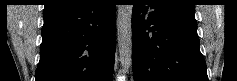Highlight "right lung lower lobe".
I'll use <instances>...</instances> for the list:
<instances>
[{"mask_svg": "<svg viewBox=\"0 0 237 81\" xmlns=\"http://www.w3.org/2000/svg\"><path fill=\"white\" fill-rule=\"evenodd\" d=\"M36 81H111L116 13L112 0H82L43 14Z\"/></svg>", "mask_w": 237, "mask_h": 81, "instance_id": "right-lung-lower-lobe-1", "label": "right lung lower lobe"}]
</instances>
